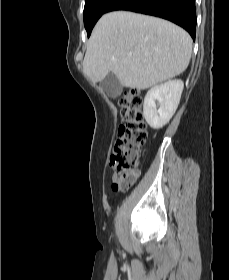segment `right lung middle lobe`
Wrapping results in <instances>:
<instances>
[{"label": "right lung middle lobe", "instance_id": "1", "mask_svg": "<svg viewBox=\"0 0 229 280\" xmlns=\"http://www.w3.org/2000/svg\"><path fill=\"white\" fill-rule=\"evenodd\" d=\"M114 0H85L84 25L88 37L97 20L106 13L108 7Z\"/></svg>", "mask_w": 229, "mask_h": 280}]
</instances>
